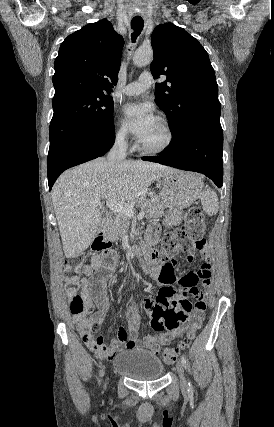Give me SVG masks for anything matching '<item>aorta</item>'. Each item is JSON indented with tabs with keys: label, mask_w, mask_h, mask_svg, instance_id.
<instances>
[{
	"label": "aorta",
	"mask_w": 274,
	"mask_h": 427,
	"mask_svg": "<svg viewBox=\"0 0 274 427\" xmlns=\"http://www.w3.org/2000/svg\"><path fill=\"white\" fill-rule=\"evenodd\" d=\"M153 60V50L152 48H139L136 50L133 62L136 66L142 67L150 64Z\"/></svg>",
	"instance_id": "obj_1"
}]
</instances>
